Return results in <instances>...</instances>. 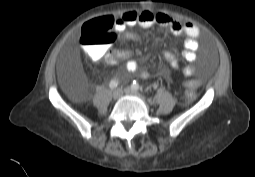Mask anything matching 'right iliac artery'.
Segmentation results:
<instances>
[{"mask_svg": "<svg viewBox=\"0 0 255 177\" xmlns=\"http://www.w3.org/2000/svg\"><path fill=\"white\" fill-rule=\"evenodd\" d=\"M117 85H118V81H116V80H111L109 83V87L111 89H115L117 87Z\"/></svg>", "mask_w": 255, "mask_h": 177, "instance_id": "1", "label": "right iliac artery"}]
</instances>
